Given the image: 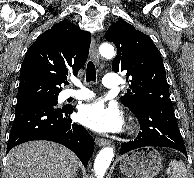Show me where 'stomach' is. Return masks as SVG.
<instances>
[{
  "instance_id": "obj_1",
  "label": "stomach",
  "mask_w": 194,
  "mask_h": 178,
  "mask_svg": "<svg viewBox=\"0 0 194 178\" xmlns=\"http://www.w3.org/2000/svg\"><path fill=\"white\" fill-rule=\"evenodd\" d=\"M120 171L128 178H154L162 168L159 152L143 147L120 157Z\"/></svg>"
}]
</instances>
